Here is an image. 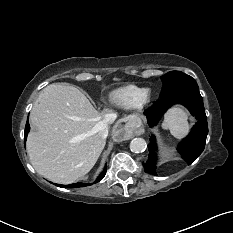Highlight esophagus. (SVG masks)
Segmentation results:
<instances>
[{
	"label": "esophagus",
	"instance_id": "1",
	"mask_svg": "<svg viewBox=\"0 0 233 233\" xmlns=\"http://www.w3.org/2000/svg\"><path fill=\"white\" fill-rule=\"evenodd\" d=\"M140 127V119L137 116L130 115L116 125L113 135L116 139L121 140L131 136L133 133H140Z\"/></svg>",
	"mask_w": 233,
	"mask_h": 233
}]
</instances>
